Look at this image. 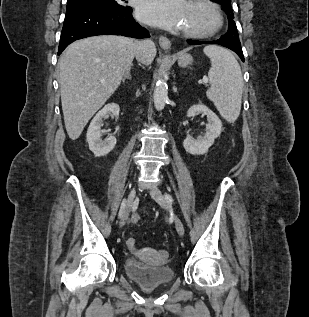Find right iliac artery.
Here are the masks:
<instances>
[{
    "label": "right iliac artery",
    "instance_id": "82829eb1",
    "mask_svg": "<svg viewBox=\"0 0 309 317\" xmlns=\"http://www.w3.org/2000/svg\"><path fill=\"white\" fill-rule=\"evenodd\" d=\"M125 206H126V199H124L122 201V204H121V207H120V210H119V217H122V215L124 213V210H125Z\"/></svg>",
    "mask_w": 309,
    "mask_h": 317
}]
</instances>
